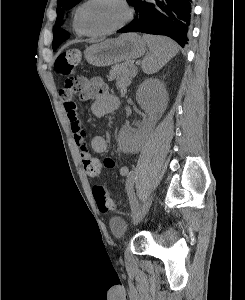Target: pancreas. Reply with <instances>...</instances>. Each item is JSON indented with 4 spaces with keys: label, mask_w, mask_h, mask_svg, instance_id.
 Returning a JSON list of instances; mask_svg holds the SVG:
<instances>
[{
    "label": "pancreas",
    "mask_w": 245,
    "mask_h": 300,
    "mask_svg": "<svg viewBox=\"0 0 245 300\" xmlns=\"http://www.w3.org/2000/svg\"><path fill=\"white\" fill-rule=\"evenodd\" d=\"M136 73L137 68L133 65V62L127 61L122 64L114 65L107 77L110 81L116 79V86L122 93H126V89L131 84L132 78Z\"/></svg>",
    "instance_id": "1"
}]
</instances>
